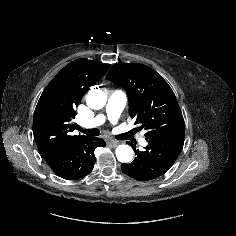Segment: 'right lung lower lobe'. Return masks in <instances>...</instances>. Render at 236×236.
Masks as SVG:
<instances>
[{
  "label": "right lung lower lobe",
  "instance_id": "right-lung-lower-lobe-1",
  "mask_svg": "<svg viewBox=\"0 0 236 236\" xmlns=\"http://www.w3.org/2000/svg\"><path fill=\"white\" fill-rule=\"evenodd\" d=\"M105 145L103 139L87 137L68 147L49 148L40 153L56 175L67 180H77L92 171L95 164L94 150Z\"/></svg>",
  "mask_w": 236,
  "mask_h": 236
}]
</instances>
